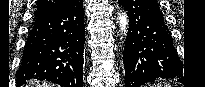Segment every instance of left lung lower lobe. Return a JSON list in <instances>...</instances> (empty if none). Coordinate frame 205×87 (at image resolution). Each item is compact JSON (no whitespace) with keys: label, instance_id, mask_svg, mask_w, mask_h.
I'll return each instance as SVG.
<instances>
[{"label":"left lung lower lobe","instance_id":"0a47b994","mask_svg":"<svg viewBox=\"0 0 205 87\" xmlns=\"http://www.w3.org/2000/svg\"><path fill=\"white\" fill-rule=\"evenodd\" d=\"M129 17L123 52L125 87L181 76L182 64L157 0H119Z\"/></svg>","mask_w":205,"mask_h":87}]
</instances>
